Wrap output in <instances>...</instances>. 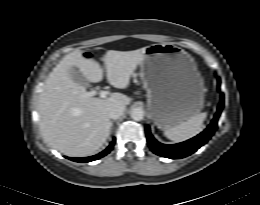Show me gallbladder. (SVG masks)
Segmentation results:
<instances>
[{
  "mask_svg": "<svg viewBox=\"0 0 260 205\" xmlns=\"http://www.w3.org/2000/svg\"><path fill=\"white\" fill-rule=\"evenodd\" d=\"M71 77L75 82L79 83L80 85L84 87L89 86V83L86 80V78L78 70L73 69V72L71 73Z\"/></svg>",
  "mask_w": 260,
  "mask_h": 205,
  "instance_id": "1",
  "label": "gallbladder"
}]
</instances>
